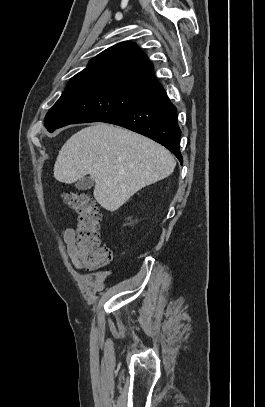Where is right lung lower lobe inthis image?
<instances>
[{"label":"right lung lower lobe","instance_id":"obj_1","mask_svg":"<svg viewBox=\"0 0 265 407\" xmlns=\"http://www.w3.org/2000/svg\"><path fill=\"white\" fill-rule=\"evenodd\" d=\"M102 122L125 127L155 140L169 149L182 164L177 110L161 85L140 103Z\"/></svg>","mask_w":265,"mask_h":407}]
</instances>
